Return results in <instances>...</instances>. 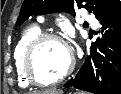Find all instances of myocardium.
Segmentation results:
<instances>
[{
  "instance_id": "myocardium-1",
  "label": "myocardium",
  "mask_w": 121,
  "mask_h": 94,
  "mask_svg": "<svg viewBox=\"0 0 121 94\" xmlns=\"http://www.w3.org/2000/svg\"><path fill=\"white\" fill-rule=\"evenodd\" d=\"M51 40L59 42L67 49L68 54H69V63L62 74H60L58 77H56L52 81L45 82V81L39 80L36 77L33 71L32 63H33L34 54L36 50L38 49V47L43 42L51 41ZM74 67H75V57H74L72 49L61 36L55 33H40L39 35H37L35 38H33L29 42L23 55L24 74L30 84L38 86V87H51V86L61 83L73 72Z\"/></svg>"
}]
</instances>
